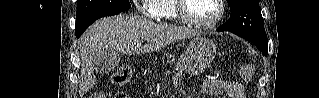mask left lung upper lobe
<instances>
[{"label":"left lung upper lobe","instance_id":"obj_1","mask_svg":"<svg viewBox=\"0 0 319 98\" xmlns=\"http://www.w3.org/2000/svg\"><path fill=\"white\" fill-rule=\"evenodd\" d=\"M230 19L220 26L254 44L268 45L258 0H227Z\"/></svg>","mask_w":319,"mask_h":98}]
</instances>
